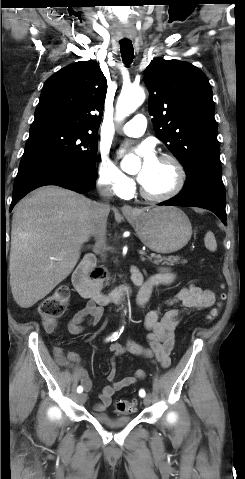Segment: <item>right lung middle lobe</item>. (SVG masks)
<instances>
[{
  "label": "right lung middle lobe",
  "instance_id": "obj_1",
  "mask_svg": "<svg viewBox=\"0 0 245 479\" xmlns=\"http://www.w3.org/2000/svg\"><path fill=\"white\" fill-rule=\"evenodd\" d=\"M97 149V132L62 125L30 127L20 166L61 160L95 170Z\"/></svg>",
  "mask_w": 245,
  "mask_h": 479
}]
</instances>
